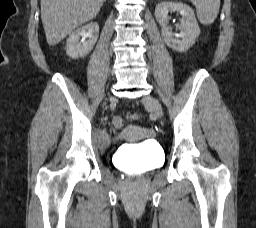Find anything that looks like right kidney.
Here are the masks:
<instances>
[{"mask_svg": "<svg viewBox=\"0 0 256 228\" xmlns=\"http://www.w3.org/2000/svg\"><path fill=\"white\" fill-rule=\"evenodd\" d=\"M98 34L97 23H89L72 32L66 41L67 55L77 59L89 54L98 39Z\"/></svg>", "mask_w": 256, "mask_h": 228, "instance_id": "1", "label": "right kidney"}]
</instances>
